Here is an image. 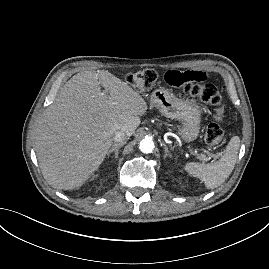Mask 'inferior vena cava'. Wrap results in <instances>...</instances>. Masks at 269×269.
I'll use <instances>...</instances> for the list:
<instances>
[{
	"label": "inferior vena cava",
	"mask_w": 269,
	"mask_h": 269,
	"mask_svg": "<svg viewBox=\"0 0 269 269\" xmlns=\"http://www.w3.org/2000/svg\"><path fill=\"white\" fill-rule=\"evenodd\" d=\"M129 133L124 130H119L115 133L113 140L117 143H126Z\"/></svg>",
	"instance_id": "inferior-vena-cava-1"
}]
</instances>
